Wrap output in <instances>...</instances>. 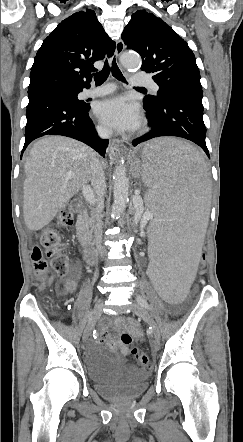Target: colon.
<instances>
[{"label": "colon", "mask_w": 243, "mask_h": 442, "mask_svg": "<svg viewBox=\"0 0 243 442\" xmlns=\"http://www.w3.org/2000/svg\"><path fill=\"white\" fill-rule=\"evenodd\" d=\"M76 211V203L68 205L64 207L58 217V224L60 226H68L72 222L73 214ZM125 229L130 230L137 227V224L134 222L127 221L124 224ZM41 245L46 250L48 257L50 258V266L52 270L60 276L65 275L70 266L69 258L66 255V246L61 241L58 233L52 229L44 230L41 233L40 237ZM142 243L147 241L145 235H142L140 238ZM31 260L34 269V275L36 278L41 280V282L45 285L51 280V273L49 271V264L47 260L44 258L41 248L39 246H35L32 250ZM209 260L208 255L203 254L200 257L199 263H197V273L203 274L206 268V264ZM121 342L125 346H130L132 343V338L129 334L123 333L120 337ZM131 355L134 357L137 364L144 368H151L152 363L148 357V355L137 347H132Z\"/></svg>", "instance_id": "colon-1"}]
</instances>
